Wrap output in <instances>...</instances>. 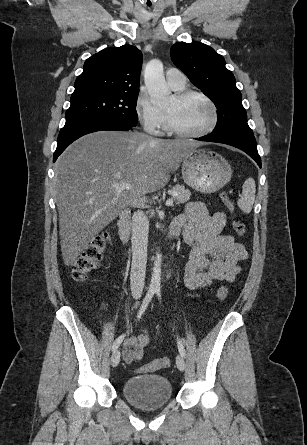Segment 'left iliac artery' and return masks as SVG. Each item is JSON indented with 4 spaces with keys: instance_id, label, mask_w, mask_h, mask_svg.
I'll return each instance as SVG.
<instances>
[{
    "instance_id": "left-iliac-artery-1",
    "label": "left iliac artery",
    "mask_w": 307,
    "mask_h": 445,
    "mask_svg": "<svg viewBox=\"0 0 307 445\" xmlns=\"http://www.w3.org/2000/svg\"><path fill=\"white\" fill-rule=\"evenodd\" d=\"M156 293H157L158 298L161 299L160 290H157ZM177 345H178V350H179L180 355L185 357L186 356V352H185L184 346H183L181 340L178 337H177Z\"/></svg>"
}]
</instances>
